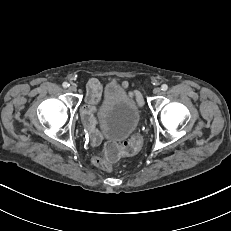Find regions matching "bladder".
Returning <instances> with one entry per match:
<instances>
[{"label":"bladder","instance_id":"bladder-1","mask_svg":"<svg viewBox=\"0 0 231 231\" xmlns=\"http://www.w3.org/2000/svg\"><path fill=\"white\" fill-rule=\"evenodd\" d=\"M98 117L107 138L123 140L135 131L141 113L125 89L117 81L111 80L104 87Z\"/></svg>","mask_w":231,"mask_h":231}]
</instances>
